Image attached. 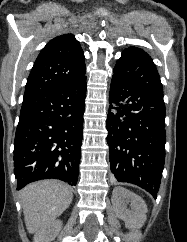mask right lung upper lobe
<instances>
[{
  "mask_svg": "<svg viewBox=\"0 0 187 242\" xmlns=\"http://www.w3.org/2000/svg\"><path fill=\"white\" fill-rule=\"evenodd\" d=\"M85 76V57L72 34L58 36L41 50L27 80L25 97L69 86Z\"/></svg>",
  "mask_w": 187,
  "mask_h": 242,
  "instance_id": "1",
  "label": "right lung upper lobe"
}]
</instances>
